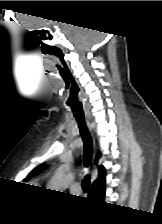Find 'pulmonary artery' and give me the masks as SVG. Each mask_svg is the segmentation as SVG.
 Returning <instances> with one entry per match:
<instances>
[{
    "label": "pulmonary artery",
    "mask_w": 162,
    "mask_h": 224,
    "mask_svg": "<svg viewBox=\"0 0 162 224\" xmlns=\"http://www.w3.org/2000/svg\"><path fill=\"white\" fill-rule=\"evenodd\" d=\"M71 192L73 193H79L81 191V185L80 182L76 181L74 182L70 187Z\"/></svg>",
    "instance_id": "1"
}]
</instances>
